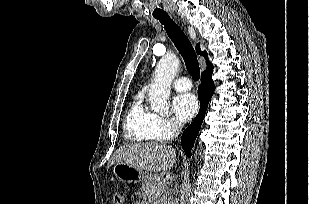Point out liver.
<instances>
[{
    "instance_id": "obj_1",
    "label": "liver",
    "mask_w": 309,
    "mask_h": 204,
    "mask_svg": "<svg viewBox=\"0 0 309 204\" xmlns=\"http://www.w3.org/2000/svg\"><path fill=\"white\" fill-rule=\"evenodd\" d=\"M176 162V152L165 143H131L120 147L110 164L125 163L150 172L170 170Z\"/></svg>"
}]
</instances>
